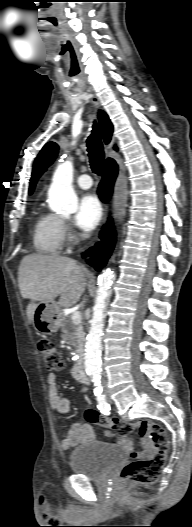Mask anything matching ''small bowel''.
<instances>
[{
    "label": "small bowel",
    "instance_id": "obj_1",
    "mask_svg": "<svg viewBox=\"0 0 192 527\" xmlns=\"http://www.w3.org/2000/svg\"><path fill=\"white\" fill-rule=\"evenodd\" d=\"M47 384H48V396H49V402H50L51 408L60 414L69 413L71 410V401L70 399L61 397L59 395L58 389H57V383H56V375L54 373L48 374ZM138 430L140 431V434H141V442L143 446L142 451H136L133 448L131 441L125 436L127 434L122 435L118 440V444L120 446L130 451L131 457H137V458L148 456L154 450L153 444L147 437V432L142 429H138ZM104 434L105 436L110 437L112 435V432L107 430L104 432ZM94 440H95V434L92 430V427L89 424L73 423L70 425V427L67 429L64 436L62 437L61 447L63 449H69L76 445L87 444V443L93 442Z\"/></svg>",
    "mask_w": 192,
    "mask_h": 527
}]
</instances>
